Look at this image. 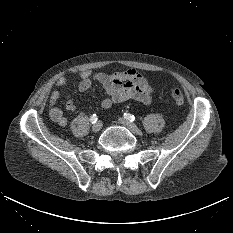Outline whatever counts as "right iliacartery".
<instances>
[{"label": "right iliac artery", "mask_w": 233, "mask_h": 233, "mask_svg": "<svg viewBox=\"0 0 233 233\" xmlns=\"http://www.w3.org/2000/svg\"><path fill=\"white\" fill-rule=\"evenodd\" d=\"M97 120H98V118H97V115H96V114H93V115L90 117V122H91L92 124L96 123Z\"/></svg>", "instance_id": "right-iliac-artery-1"}]
</instances>
